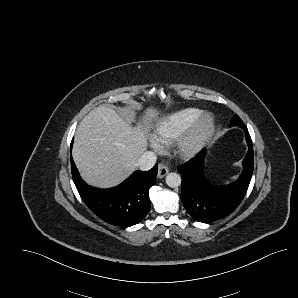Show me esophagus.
<instances>
[{"label":"esophagus","instance_id":"34e87169","mask_svg":"<svg viewBox=\"0 0 298 298\" xmlns=\"http://www.w3.org/2000/svg\"><path fill=\"white\" fill-rule=\"evenodd\" d=\"M168 173V167L164 163L158 164V177L163 178Z\"/></svg>","mask_w":298,"mask_h":298}]
</instances>
